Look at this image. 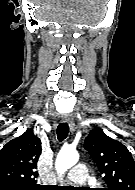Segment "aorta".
Wrapping results in <instances>:
<instances>
[{"instance_id": "762f6f07", "label": "aorta", "mask_w": 135, "mask_h": 190, "mask_svg": "<svg viewBox=\"0 0 135 190\" xmlns=\"http://www.w3.org/2000/svg\"><path fill=\"white\" fill-rule=\"evenodd\" d=\"M79 160V154L76 150L65 148L57 155L55 168L58 174H64L69 168L73 167Z\"/></svg>"}]
</instances>
